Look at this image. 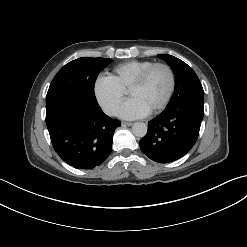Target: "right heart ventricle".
<instances>
[{
  "label": "right heart ventricle",
  "mask_w": 247,
  "mask_h": 247,
  "mask_svg": "<svg viewBox=\"0 0 247 247\" xmlns=\"http://www.w3.org/2000/svg\"><path fill=\"white\" fill-rule=\"evenodd\" d=\"M153 63L150 60L126 61L116 65L109 76L125 91L139 74Z\"/></svg>",
  "instance_id": "1"
}]
</instances>
